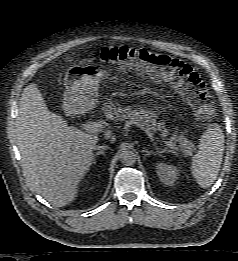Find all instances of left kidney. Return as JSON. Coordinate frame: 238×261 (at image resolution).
Instances as JSON below:
<instances>
[{
    "label": "left kidney",
    "instance_id": "left-kidney-1",
    "mask_svg": "<svg viewBox=\"0 0 238 261\" xmlns=\"http://www.w3.org/2000/svg\"><path fill=\"white\" fill-rule=\"evenodd\" d=\"M156 173L162 183L173 186L178 178L179 169L176 166L158 162L156 163Z\"/></svg>",
    "mask_w": 238,
    "mask_h": 261
}]
</instances>
